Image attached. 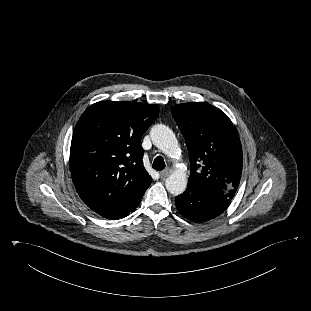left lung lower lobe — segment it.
I'll list each match as a JSON object with an SVG mask.
<instances>
[{
  "label": "left lung lower lobe",
  "mask_w": 311,
  "mask_h": 311,
  "mask_svg": "<svg viewBox=\"0 0 311 311\" xmlns=\"http://www.w3.org/2000/svg\"><path fill=\"white\" fill-rule=\"evenodd\" d=\"M230 203L231 199L210 192L193 182H189L185 192L176 197L180 214L196 223L217 217Z\"/></svg>",
  "instance_id": "obj_1"
}]
</instances>
